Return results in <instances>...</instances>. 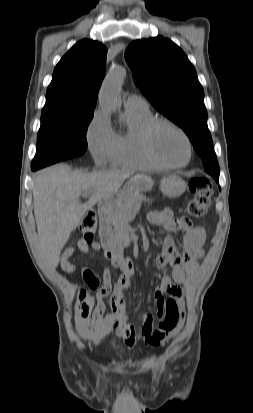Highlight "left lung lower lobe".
I'll use <instances>...</instances> for the list:
<instances>
[{
    "label": "left lung lower lobe",
    "instance_id": "1",
    "mask_svg": "<svg viewBox=\"0 0 253 413\" xmlns=\"http://www.w3.org/2000/svg\"><path fill=\"white\" fill-rule=\"evenodd\" d=\"M213 178L216 180V182L219 181V176H213Z\"/></svg>",
    "mask_w": 253,
    "mask_h": 413
}]
</instances>
